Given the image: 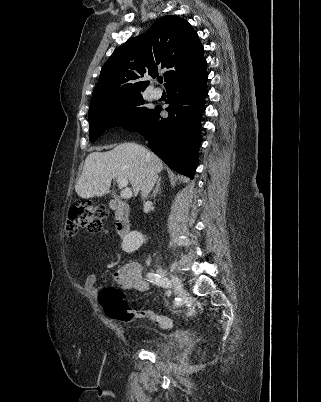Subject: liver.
<instances>
[{
	"instance_id": "1",
	"label": "liver",
	"mask_w": 321,
	"mask_h": 402,
	"mask_svg": "<svg viewBox=\"0 0 321 402\" xmlns=\"http://www.w3.org/2000/svg\"><path fill=\"white\" fill-rule=\"evenodd\" d=\"M148 166L156 173L163 169L157 155L136 143H123L106 152H91L85 159L75 191L85 199L100 197L109 192L112 179L123 177L129 180L137 196Z\"/></svg>"
}]
</instances>
